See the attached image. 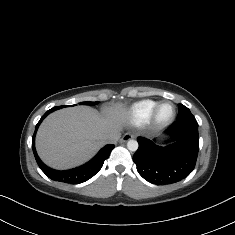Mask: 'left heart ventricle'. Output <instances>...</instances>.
Here are the masks:
<instances>
[{
	"label": "left heart ventricle",
	"mask_w": 235,
	"mask_h": 235,
	"mask_svg": "<svg viewBox=\"0 0 235 235\" xmlns=\"http://www.w3.org/2000/svg\"><path fill=\"white\" fill-rule=\"evenodd\" d=\"M174 113V108L171 103H165L163 104L158 112L159 119L162 121L168 120L172 117Z\"/></svg>",
	"instance_id": "1"
}]
</instances>
